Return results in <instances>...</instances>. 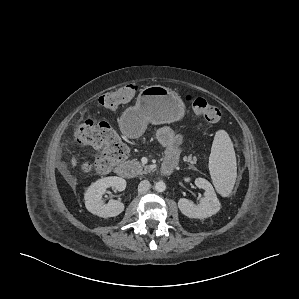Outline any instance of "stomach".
Masks as SVG:
<instances>
[{
  "label": "stomach",
  "instance_id": "1",
  "mask_svg": "<svg viewBox=\"0 0 299 299\" xmlns=\"http://www.w3.org/2000/svg\"><path fill=\"white\" fill-rule=\"evenodd\" d=\"M185 115V104L175 91L153 85L142 89L135 106L122 115L123 130L129 136H140L148 123L164 124L181 120Z\"/></svg>",
  "mask_w": 299,
  "mask_h": 299
}]
</instances>
